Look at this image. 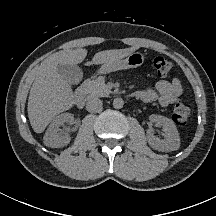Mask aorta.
I'll use <instances>...</instances> for the list:
<instances>
[{
    "label": "aorta",
    "instance_id": "obj_1",
    "mask_svg": "<svg viewBox=\"0 0 216 216\" xmlns=\"http://www.w3.org/2000/svg\"><path fill=\"white\" fill-rule=\"evenodd\" d=\"M124 105V101L122 98H115L113 101V107L115 109H121Z\"/></svg>",
    "mask_w": 216,
    "mask_h": 216
}]
</instances>
